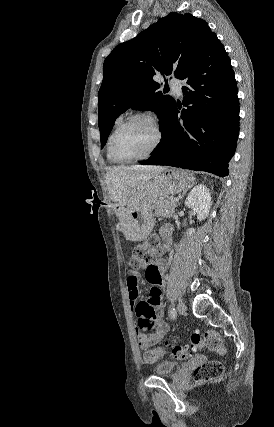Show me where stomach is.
Instances as JSON below:
<instances>
[{
  "label": "stomach",
  "instance_id": "1",
  "mask_svg": "<svg viewBox=\"0 0 274 427\" xmlns=\"http://www.w3.org/2000/svg\"><path fill=\"white\" fill-rule=\"evenodd\" d=\"M194 180V174L174 168H165L154 178L141 180L131 202H119L114 206L115 214L120 221L119 225L127 239L131 241L146 239L155 225L153 208L156 200L160 196L186 192L195 184Z\"/></svg>",
  "mask_w": 274,
  "mask_h": 427
}]
</instances>
